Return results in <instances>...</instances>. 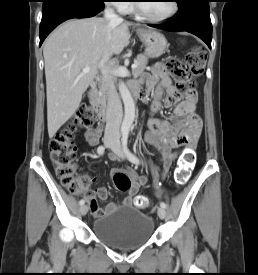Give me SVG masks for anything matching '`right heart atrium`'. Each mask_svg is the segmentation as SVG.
<instances>
[{"label":"right heart atrium","mask_w":258,"mask_h":275,"mask_svg":"<svg viewBox=\"0 0 258 275\" xmlns=\"http://www.w3.org/2000/svg\"><path fill=\"white\" fill-rule=\"evenodd\" d=\"M108 2H111V5L115 6L119 11L125 12L126 7L128 6L129 2L128 0H108Z\"/></svg>","instance_id":"1"}]
</instances>
